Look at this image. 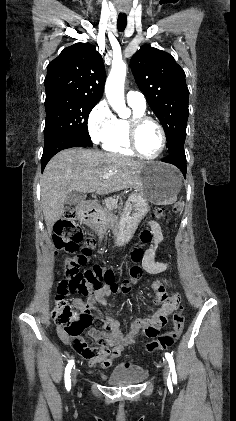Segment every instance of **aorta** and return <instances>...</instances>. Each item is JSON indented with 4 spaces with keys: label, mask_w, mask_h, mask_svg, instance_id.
Listing matches in <instances>:
<instances>
[{
    "label": "aorta",
    "mask_w": 236,
    "mask_h": 421,
    "mask_svg": "<svg viewBox=\"0 0 236 421\" xmlns=\"http://www.w3.org/2000/svg\"><path fill=\"white\" fill-rule=\"evenodd\" d=\"M126 68V64H121L118 68H111L105 84L108 102L117 112H120V108L125 104L123 88Z\"/></svg>",
    "instance_id": "obj_1"
}]
</instances>
